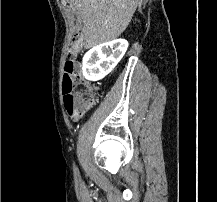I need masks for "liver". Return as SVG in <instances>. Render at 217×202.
Instances as JSON below:
<instances>
[{"label":"liver","mask_w":217,"mask_h":202,"mask_svg":"<svg viewBox=\"0 0 217 202\" xmlns=\"http://www.w3.org/2000/svg\"><path fill=\"white\" fill-rule=\"evenodd\" d=\"M71 8L83 20L78 42L93 48L116 40L125 32L142 0H68Z\"/></svg>","instance_id":"obj_1"}]
</instances>
